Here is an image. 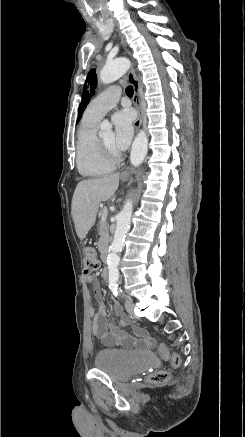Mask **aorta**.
<instances>
[{"label":"aorta","mask_w":245,"mask_h":437,"mask_svg":"<svg viewBox=\"0 0 245 437\" xmlns=\"http://www.w3.org/2000/svg\"><path fill=\"white\" fill-rule=\"evenodd\" d=\"M130 67L129 60L125 58H119L115 61L108 63L100 72V80L103 83H112L119 79ZM102 129H110V127L103 126ZM148 151V137L145 131L141 130L136 136L130 153V162L133 166H139L145 159ZM132 201L127 200L123 209L117 215L116 230L114 233L113 241L109 248V254L107 257L109 281L117 282L119 278L118 266L120 262L119 253L124 247L125 236L130 228V218L132 214Z\"/></svg>","instance_id":"762f6f07"}]
</instances>
